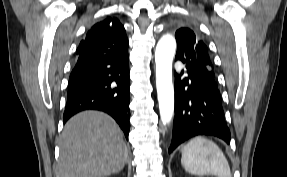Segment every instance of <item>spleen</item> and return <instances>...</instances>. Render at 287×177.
Here are the masks:
<instances>
[{
  "mask_svg": "<svg viewBox=\"0 0 287 177\" xmlns=\"http://www.w3.org/2000/svg\"><path fill=\"white\" fill-rule=\"evenodd\" d=\"M181 164L193 175L232 177L222 150L213 141L204 137H195L183 147Z\"/></svg>",
  "mask_w": 287,
  "mask_h": 177,
  "instance_id": "3e777b00",
  "label": "spleen"
}]
</instances>
